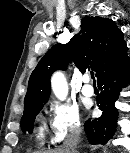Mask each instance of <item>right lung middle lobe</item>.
I'll return each mask as SVG.
<instances>
[{"mask_svg": "<svg viewBox=\"0 0 130 153\" xmlns=\"http://www.w3.org/2000/svg\"><path fill=\"white\" fill-rule=\"evenodd\" d=\"M42 107L43 104H39L24 110V114L21 120V128L24 132L28 131L29 133H31V131L33 130L35 117L42 109Z\"/></svg>", "mask_w": 130, "mask_h": 153, "instance_id": "dd1d6c3e", "label": "right lung middle lobe"}]
</instances>
